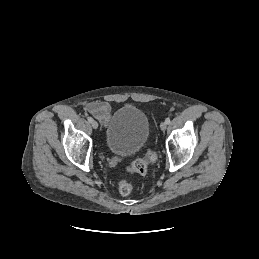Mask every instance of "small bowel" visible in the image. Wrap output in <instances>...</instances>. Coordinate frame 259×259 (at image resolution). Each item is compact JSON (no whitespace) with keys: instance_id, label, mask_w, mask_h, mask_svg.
<instances>
[{"instance_id":"1","label":"small bowel","mask_w":259,"mask_h":259,"mask_svg":"<svg viewBox=\"0 0 259 259\" xmlns=\"http://www.w3.org/2000/svg\"><path fill=\"white\" fill-rule=\"evenodd\" d=\"M86 109L102 123H106L111 115L112 107L106 101H93L86 105Z\"/></svg>"}]
</instances>
